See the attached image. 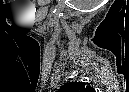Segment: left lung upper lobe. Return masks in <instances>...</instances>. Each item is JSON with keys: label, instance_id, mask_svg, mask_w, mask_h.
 <instances>
[{"label": "left lung upper lobe", "instance_id": "5c2ea615", "mask_svg": "<svg viewBox=\"0 0 129 92\" xmlns=\"http://www.w3.org/2000/svg\"><path fill=\"white\" fill-rule=\"evenodd\" d=\"M94 90L82 82L67 83L59 92H93Z\"/></svg>", "mask_w": 129, "mask_h": 92}]
</instances>
